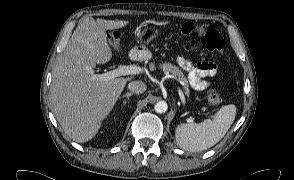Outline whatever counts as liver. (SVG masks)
Masks as SVG:
<instances>
[{"label": "liver", "mask_w": 294, "mask_h": 180, "mask_svg": "<svg viewBox=\"0 0 294 180\" xmlns=\"http://www.w3.org/2000/svg\"><path fill=\"white\" fill-rule=\"evenodd\" d=\"M128 24V20L85 18L56 59L50 99L58 121L76 142H87L97 134L126 83L133 78L104 82L93 71L96 65L112 58L105 30Z\"/></svg>", "instance_id": "1"}]
</instances>
